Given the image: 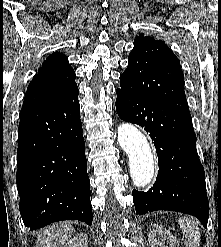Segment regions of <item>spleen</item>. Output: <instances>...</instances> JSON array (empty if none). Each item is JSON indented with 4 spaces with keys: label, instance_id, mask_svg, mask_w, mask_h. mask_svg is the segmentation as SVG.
<instances>
[{
    "label": "spleen",
    "instance_id": "spleen-1",
    "mask_svg": "<svg viewBox=\"0 0 221 247\" xmlns=\"http://www.w3.org/2000/svg\"><path fill=\"white\" fill-rule=\"evenodd\" d=\"M179 225L183 233V240L186 247L200 246V231L195 221L182 217L179 219Z\"/></svg>",
    "mask_w": 221,
    "mask_h": 247
}]
</instances>
